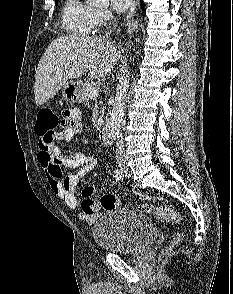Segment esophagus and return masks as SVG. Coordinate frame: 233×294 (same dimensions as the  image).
<instances>
[{"mask_svg": "<svg viewBox=\"0 0 233 294\" xmlns=\"http://www.w3.org/2000/svg\"><path fill=\"white\" fill-rule=\"evenodd\" d=\"M138 6H139V0H134L129 13L126 16V26H128V34L129 35H131L136 29L133 18L137 13Z\"/></svg>", "mask_w": 233, "mask_h": 294, "instance_id": "esophagus-1", "label": "esophagus"}]
</instances>
